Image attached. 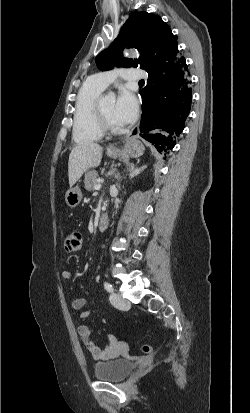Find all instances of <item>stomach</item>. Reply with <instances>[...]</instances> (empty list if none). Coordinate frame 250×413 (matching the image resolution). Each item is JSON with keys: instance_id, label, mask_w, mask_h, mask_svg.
<instances>
[{"instance_id": "obj_1", "label": "stomach", "mask_w": 250, "mask_h": 413, "mask_svg": "<svg viewBox=\"0 0 250 413\" xmlns=\"http://www.w3.org/2000/svg\"><path fill=\"white\" fill-rule=\"evenodd\" d=\"M143 152H144L143 144L139 140L132 138L126 142L123 150H118L115 152L107 151V155L109 157H116L118 154L124 153L131 157H139L143 154ZM82 197L83 195H82L80 186H76L74 188H70L66 192L65 201L69 207L75 208L80 204Z\"/></svg>"}]
</instances>
